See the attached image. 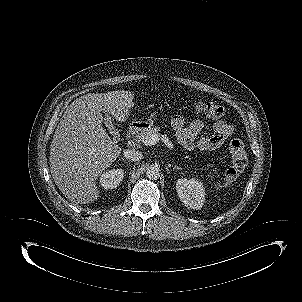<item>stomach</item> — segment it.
<instances>
[{"mask_svg":"<svg viewBox=\"0 0 302 302\" xmlns=\"http://www.w3.org/2000/svg\"><path fill=\"white\" fill-rule=\"evenodd\" d=\"M155 120H156V116L154 114H151L146 118L145 121H141L139 122V124L142 125L143 127H147L153 125Z\"/></svg>","mask_w":302,"mask_h":302,"instance_id":"stomach-1","label":"stomach"}]
</instances>
